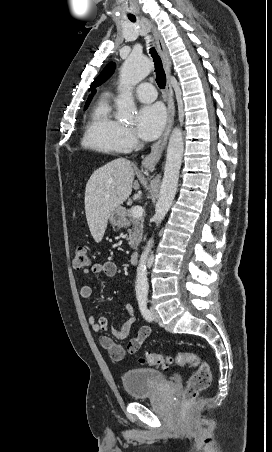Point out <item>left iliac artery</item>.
Instances as JSON below:
<instances>
[{
	"label": "left iliac artery",
	"instance_id": "44dca946",
	"mask_svg": "<svg viewBox=\"0 0 272 452\" xmlns=\"http://www.w3.org/2000/svg\"><path fill=\"white\" fill-rule=\"evenodd\" d=\"M138 303H139V308H140V311H141L143 317L146 320L151 321L152 320V314L149 311V309L147 308V297L146 296L138 297Z\"/></svg>",
	"mask_w": 272,
	"mask_h": 452
}]
</instances>
